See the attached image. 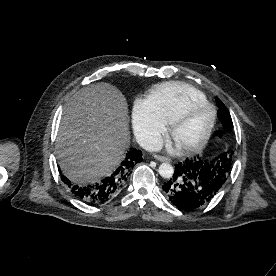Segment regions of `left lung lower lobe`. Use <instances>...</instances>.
Returning a JSON list of instances; mask_svg holds the SVG:
<instances>
[{
    "mask_svg": "<svg viewBox=\"0 0 276 276\" xmlns=\"http://www.w3.org/2000/svg\"><path fill=\"white\" fill-rule=\"evenodd\" d=\"M225 175L203 158H187L176 165L163 190L177 207L192 210L210 202L224 185Z\"/></svg>",
    "mask_w": 276,
    "mask_h": 276,
    "instance_id": "0a47b994",
    "label": "left lung lower lobe"
}]
</instances>
